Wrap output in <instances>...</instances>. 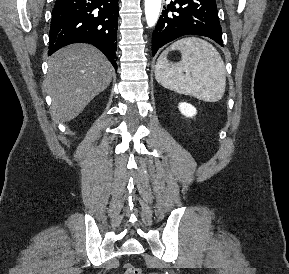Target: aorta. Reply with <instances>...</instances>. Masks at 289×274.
<instances>
[{"label": "aorta", "mask_w": 289, "mask_h": 274, "mask_svg": "<svg viewBox=\"0 0 289 274\" xmlns=\"http://www.w3.org/2000/svg\"><path fill=\"white\" fill-rule=\"evenodd\" d=\"M161 9V0H145V16L149 27L155 26Z\"/></svg>", "instance_id": "762f6f07"}]
</instances>
